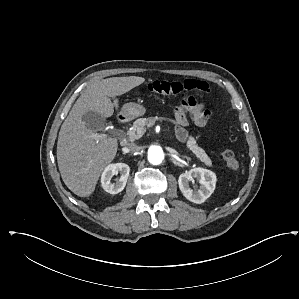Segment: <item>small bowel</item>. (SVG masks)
<instances>
[{
    "instance_id": "1",
    "label": "small bowel",
    "mask_w": 299,
    "mask_h": 299,
    "mask_svg": "<svg viewBox=\"0 0 299 299\" xmlns=\"http://www.w3.org/2000/svg\"><path fill=\"white\" fill-rule=\"evenodd\" d=\"M190 113L193 121L199 125L207 124L211 117V111L202 102H198L193 97H186L181 100L179 105L174 109V117L176 122V136L181 142H185L188 138V133L185 127L188 124L187 113Z\"/></svg>"
}]
</instances>
